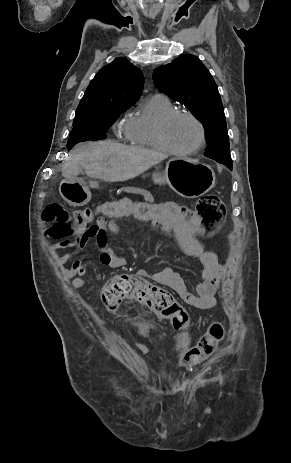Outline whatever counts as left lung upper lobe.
Segmentation results:
<instances>
[{
  "label": "left lung upper lobe",
  "instance_id": "5c2ea615",
  "mask_svg": "<svg viewBox=\"0 0 291 463\" xmlns=\"http://www.w3.org/2000/svg\"><path fill=\"white\" fill-rule=\"evenodd\" d=\"M154 85L185 105L206 129L205 156L232 161L226 119L217 85L209 70L194 55L185 54L153 72Z\"/></svg>",
  "mask_w": 291,
  "mask_h": 463
}]
</instances>
